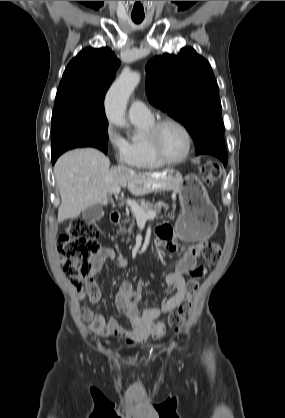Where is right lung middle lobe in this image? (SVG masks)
<instances>
[{"instance_id": "1", "label": "right lung middle lobe", "mask_w": 285, "mask_h": 418, "mask_svg": "<svg viewBox=\"0 0 285 418\" xmlns=\"http://www.w3.org/2000/svg\"><path fill=\"white\" fill-rule=\"evenodd\" d=\"M52 158L77 147H95L107 154L108 121L103 109L81 105L54 106Z\"/></svg>"}]
</instances>
